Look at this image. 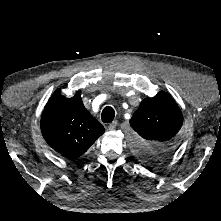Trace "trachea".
Instances as JSON below:
<instances>
[{
  "label": "trachea",
  "instance_id": "trachea-1",
  "mask_svg": "<svg viewBox=\"0 0 221 221\" xmlns=\"http://www.w3.org/2000/svg\"><path fill=\"white\" fill-rule=\"evenodd\" d=\"M114 117H115L114 109L110 106H106L101 114L102 121L104 123H110L111 121H113Z\"/></svg>",
  "mask_w": 221,
  "mask_h": 221
}]
</instances>
